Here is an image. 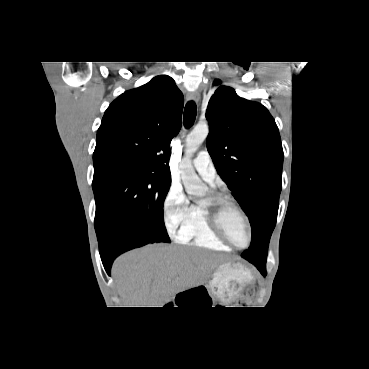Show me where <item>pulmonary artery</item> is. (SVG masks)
Returning a JSON list of instances; mask_svg holds the SVG:
<instances>
[{"label": "pulmonary artery", "mask_w": 369, "mask_h": 369, "mask_svg": "<svg viewBox=\"0 0 369 369\" xmlns=\"http://www.w3.org/2000/svg\"><path fill=\"white\" fill-rule=\"evenodd\" d=\"M192 163L198 174L213 185L216 172L209 153L206 150L200 151Z\"/></svg>", "instance_id": "1"}]
</instances>
